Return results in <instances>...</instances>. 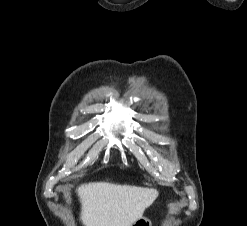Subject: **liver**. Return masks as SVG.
Here are the masks:
<instances>
[{
    "label": "liver",
    "instance_id": "obj_1",
    "mask_svg": "<svg viewBox=\"0 0 247 226\" xmlns=\"http://www.w3.org/2000/svg\"><path fill=\"white\" fill-rule=\"evenodd\" d=\"M84 226H132L158 196L155 189L107 182L77 189Z\"/></svg>",
    "mask_w": 247,
    "mask_h": 226
}]
</instances>
